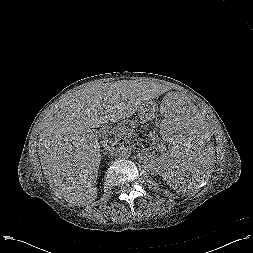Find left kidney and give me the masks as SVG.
<instances>
[{"mask_svg":"<svg viewBox=\"0 0 253 253\" xmlns=\"http://www.w3.org/2000/svg\"><path fill=\"white\" fill-rule=\"evenodd\" d=\"M182 190L184 191V190H186V188L183 187V188L178 189L179 192L182 191Z\"/></svg>","mask_w":253,"mask_h":253,"instance_id":"obj_1","label":"left kidney"}]
</instances>
